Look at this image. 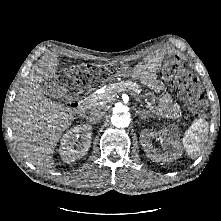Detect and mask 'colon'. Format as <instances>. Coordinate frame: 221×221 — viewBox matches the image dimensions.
I'll use <instances>...</instances> for the list:
<instances>
[{
  "mask_svg": "<svg viewBox=\"0 0 221 221\" xmlns=\"http://www.w3.org/2000/svg\"><path fill=\"white\" fill-rule=\"evenodd\" d=\"M110 69L89 66H73L59 71L56 81L66 98H73L84 90L88 82L106 79ZM161 75L179 87L181 95L188 102L194 116L202 114L207 108L203 89L193 74L184 65L170 64L161 71Z\"/></svg>",
  "mask_w": 221,
  "mask_h": 221,
  "instance_id": "1",
  "label": "colon"
}]
</instances>
